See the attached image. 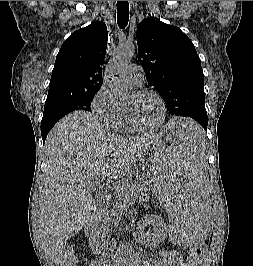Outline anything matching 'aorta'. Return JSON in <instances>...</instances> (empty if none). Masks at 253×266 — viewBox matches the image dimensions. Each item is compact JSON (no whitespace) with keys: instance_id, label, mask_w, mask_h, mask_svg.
Returning a JSON list of instances; mask_svg holds the SVG:
<instances>
[{"instance_id":"762f6f07","label":"aorta","mask_w":253,"mask_h":266,"mask_svg":"<svg viewBox=\"0 0 253 266\" xmlns=\"http://www.w3.org/2000/svg\"><path fill=\"white\" fill-rule=\"evenodd\" d=\"M136 48L132 44L117 47L112 60L105 68L104 78L113 94L118 98H125L131 92V87L126 81L123 71L125 66L132 60Z\"/></svg>"}]
</instances>
